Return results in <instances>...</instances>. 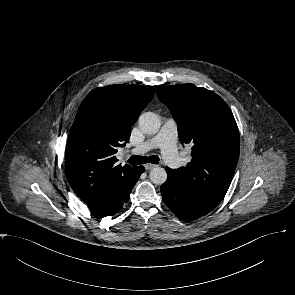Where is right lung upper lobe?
<instances>
[{"label": "right lung upper lobe", "instance_id": "obj_1", "mask_svg": "<svg viewBox=\"0 0 295 295\" xmlns=\"http://www.w3.org/2000/svg\"><path fill=\"white\" fill-rule=\"evenodd\" d=\"M155 90L156 86L110 85L92 90L81 103L69 131L65 171L71 188L88 206L132 170L117 164L115 153L129 141L131 126ZM93 97L103 101L104 116L90 113Z\"/></svg>", "mask_w": 295, "mask_h": 295}]
</instances>
